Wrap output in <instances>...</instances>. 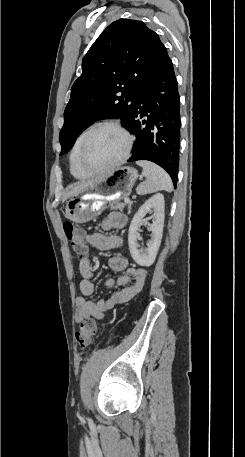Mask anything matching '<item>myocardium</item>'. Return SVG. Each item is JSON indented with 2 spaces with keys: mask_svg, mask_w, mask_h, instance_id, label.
I'll return each mask as SVG.
<instances>
[{
  "mask_svg": "<svg viewBox=\"0 0 245 457\" xmlns=\"http://www.w3.org/2000/svg\"><path fill=\"white\" fill-rule=\"evenodd\" d=\"M104 129H111L117 133H119L125 139V146L123 152L119 155V157L109 166L98 170H90L83 162V152L87 147L90 139L99 131ZM133 137L131 134L123 128L121 125L114 123V122H103L96 124L93 126L84 136V139L78 149L77 152V162L81 170L88 176H95L101 174L106 171H110L118 167L121 163H123L130 155L132 146H133Z\"/></svg>",
  "mask_w": 245,
  "mask_h": 457,
  "instance_id": "obj_1",
  "label": "myocardium"
}]
</instances>
